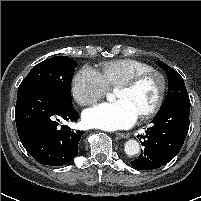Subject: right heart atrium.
I'll list each match as a JSON object with an SVG mask.
<instances>
[{"label": "right heart atrium", "mask_w": 201, "mask_h": 201, "mask_svg": "<svg viewBox=\"0 0 201 201\" xmlns=\"http://www.w3.org/2000/svg\"><path fill=\"white\" fill-rule=\"evenodd\" d=\"M108 91L100 71L84 66L76 72L72 80V95L81 106H90L103 98Z\"/></svg>", "instance_id": "obj_1"}]
</instances>
